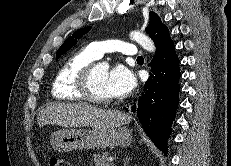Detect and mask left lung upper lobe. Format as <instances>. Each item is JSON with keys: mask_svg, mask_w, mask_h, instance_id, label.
Instances as JSON below:
<instances>
[{"mask_svg": "<svg viewBox=\"0 0 231 166\" xmlns=\"http://www.w3.org/2000/svg\"><path fill=\"white\" fill-rule=\"evenodd\" d=\"M165 29H167V27L161 22L160 17L156 13L150 12V21L145 29L150 38L155 42V40ZM89 30L90 27L82 28L74 32L72 36H69L63 45L57 50L56 60H58L59 57L66 53L69 49H71L77 43V40L80 39Z\"/></svg>", "mask_w": 231, "mask_h": 166, "instance_id": "5c2ea615", "label": "left lung upper lobe"}]
</instances>
